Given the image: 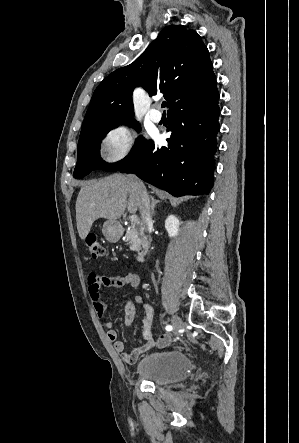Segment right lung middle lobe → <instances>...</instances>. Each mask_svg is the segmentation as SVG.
<instances>
[{"mask_svg":"<svg viewBox=\"0 0 299 443\" xmlns=\"http://www.w3.org/2000/svg\"><path fill=\"white\" fill-rule=\"evenodd\" d=\"M119 124L134 125L137 131L140 130V127L135 120H127L97 128L80 137L78 142L77 165L73 173L75 178H83L92 170L116 172L126 167L139 157L144 148L150 142L145 140L143 137H139L137 139L136 145L133 147L131 152L121 161L116 163H106L101 159L100 143L102 139L111 129L117 127Z\"/></svg>","mask_w":299,"mask_h":443,"instance_id":"right-lung-middle-lobe-1","label":"right lung middle lobe"}]
</instances>
